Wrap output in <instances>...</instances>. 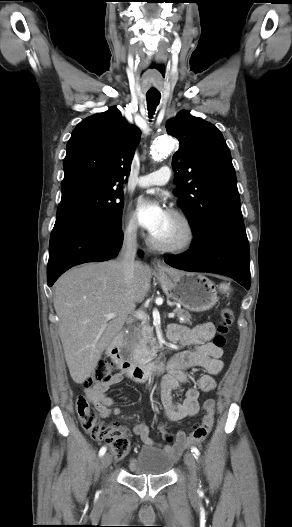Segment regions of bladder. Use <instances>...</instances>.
<instances>
[{
    "mask_svg": "<svg viewBox=\"0 0 292 527\" xmlns=\"http://www.w3.org/2000/svg\"><path fill=\"white\" fill-rule=\"evenodd\" d=\"M173 458L157 447H144L138 455L129 460L128 468L133 475L161 476L170 471Z\"/></svg>",
    "mask_w": 292,
    "mask_h": 527,
    "instance_id": "bladder-1",
    "label": "bladder"
}]
</instances>
